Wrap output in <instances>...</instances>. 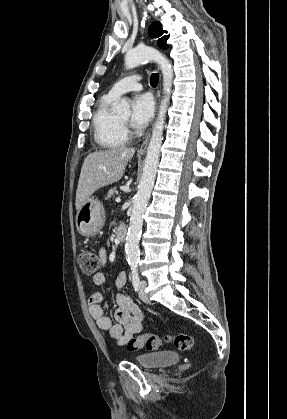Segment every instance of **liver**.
Segmentation results:
<instances>
[{
	"instance_id": "liver-1",
	"label": "liver",
	"mask_w": 287,
	"mask_h": 419,
	"mask_svg": "<svg viewBox=\"0 0 287 419\" xmlns=\"http://www.w3.org/2000/svg\"><path fill=\"white\" fill-rule=\"evenodd\" d=\"M135 154L134 148L118 147L95 151L85 158L76 191L77 211L90 196L102 187L119 181L128 161Z\"/></svg>"
}]
</instances>
